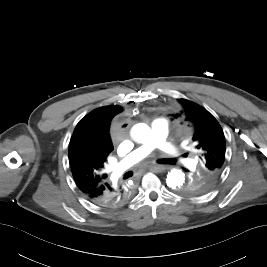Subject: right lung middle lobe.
Returning <instances> with one entry per match:
<instances>
[{
	"label": "right lung middle lobe",
	"mask_w": 267,
	"mask_h": 267,
	"mask_svg": "<svg viewBox=\"0 0 267 267\" xmlns=\"http://www.w3.org/2000/svg\"><path fill=\"white\" fill-rule=\"evenodd\" d=\"M93 172H94V169H93L92 165H89V166L85 167V171L83 172V175L89 176V175H92Z\"/></svg>",
	"instance_id": "1"
}]
</instances>
